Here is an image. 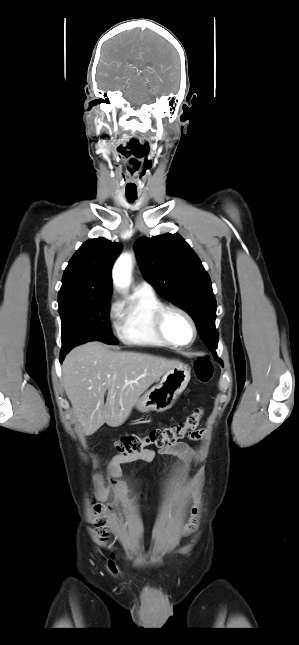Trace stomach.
<instances>
[{
  "label": "stomach",
  "instance_id": "0dacf381",
  "mask_svg": "<svg viewBox=\"0 0 299 645\" xmlns=\"http://www.w3.org/2000/svg\"><path fill=\"white\" fill-rule=\"evenodd\" d=\"M190 370L183 364L170 369L161 381L144 393L135 404L140 412L168 410L178 399L190 381Z\"/></svg>",
  "mask_w": 299,
  "mask_h": 645
}]
</instances>
